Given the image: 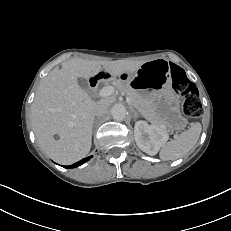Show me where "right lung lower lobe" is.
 <instances>
[{
  "instance_id": "obj_1",
  "label": "right lung lower lobe",
  "mask_w": 231,
  "mask_h": 231,
  "mask_svg": "<svg viewBox=\"0 0 231 231\" xmlns=\"http://www.w3.org/2000/svg\"><path fill=\"white\" fill-rule=\"evenodd\" d=\"M91 157H92V156L86 157V158L80 160L79 162L74 163L73 165L66 166L65 168H74V167H78V166H80L81 164H83L84 162L88 161Z\"/></svg>"
}]
</instances>
